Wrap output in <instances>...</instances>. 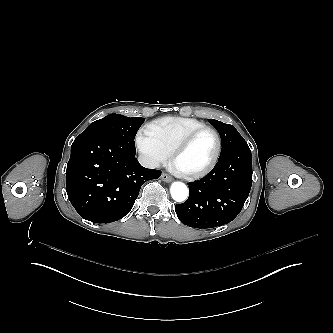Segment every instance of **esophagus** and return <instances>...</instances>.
Returning <instances> with one entry per match:
<instances>
[{
	"label": "esophagus",
	"mask_w": 333,
	"mask_h": 333,
	"mask_svg": "<svg viewBox=\"0 0 333 333\" xmlns=\"http://www.w3.org/2000/svg\"><path fill=\"white\" fill-rule=\"evenodd\" d=\"M161 180L166 183H169V182H172V177L169 176L168 174H166L165 172H163L161 175Z\"/></svg>",
	"instance_id": "1"
}]
</instances>
